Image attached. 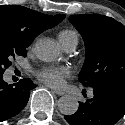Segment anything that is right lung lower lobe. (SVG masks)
<instances>
[{"label":"right lung lower lobe","mask_w":125,"mask_h":125,"mask_svg":"<svg viewBox=\"0 0 125 125\" xmlns=\"http://www.w3.org/2000/svg\"><path fill=\"white\" fill-rule=\"evenodd\" d=\"M36 87L30 79L8 84L0 75V122L17 115L27 104L30 91Z\"/></svg>","instance_id":"right-lung-lower-lobe-1"}]
</instances>
